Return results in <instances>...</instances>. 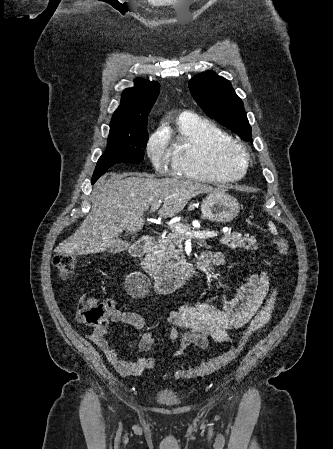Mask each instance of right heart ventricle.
Returning <instances> with one entry per match:
<instances>
[{
  "label": "right heart ventricle",
  "instance_id": "e07e8e85",
  "mask_svg": "<svg viewBox=\"0 0 333 449\" xmlns=\"http://www.w3.org/2000/svg\"><path fill=\"white\" fill-rule=\"evenodd\" d=\"M231 140L226 131L211 121L197 117L178 120L170 153L173 173L200 182L242 178L248 163L226 167L220 161V147Z\"/></svg>",
  "mask_w": 333,
  "mask_h": 449
}]
</instances>
